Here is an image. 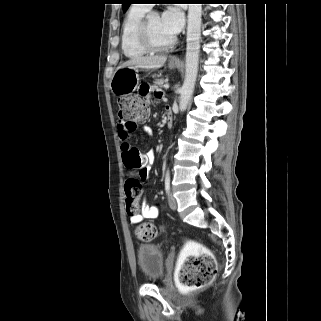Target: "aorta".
<instances>
[{
  "mask_svg": "<svg viewBox=\"0 0 321 321\" xmlns=\"http://www.w3.org/2000/svg\"><path fill=\"white\" fill-rule=\"evenodd\" d=\"M201 4H189L187 21V46L185 79L180 92L179 106L185 109L192 96L198 74L201 39Z\"/></svg>",
  "mask_w": 321,
  "mask_h": 321,
  "instance_id": "obj_1",
  "label": "aorta"
}]
</instances>
